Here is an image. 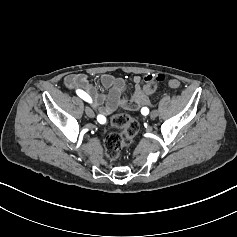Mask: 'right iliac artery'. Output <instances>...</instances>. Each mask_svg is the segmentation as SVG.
<instances>
[{"instance_id":"1","label":"right iliac artery","mask_w":237,"mask_h":237,"mask_svg":"<svg viewBox=\"0 0 237 237\" xmlns=\"http://www.w3.org/2000/svg\"><path fill=\"white\" fill-rule=\"evenodd\" d=\"M76 93H77V95H78L80 98H82L83 100H85V101H87V102H89V103L92 102L91 97H90L86 92H84L83 90L78 89V90L76 91ZM97 120H98V122L101 123V124H103V123L106 122V118H105L103 115H98Z\"/></svg>"}]
</instances>
